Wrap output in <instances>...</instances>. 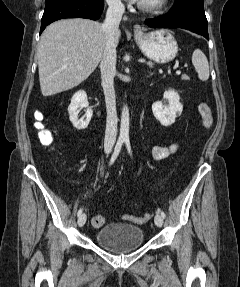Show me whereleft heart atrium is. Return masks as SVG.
I'll list each match as a JSON object with an SVG mask.
<instances>
[{"label": "left heart atrium", "instance_id": "left-heart-atrium-1", "mask_svg": "<svg viewBox=\"0 0 240 287\" xmlns=\"http://www.w3.org/2000/svg\"><path fill=\"white\" fill-rule=\"evenodd\" d=\"M132 2H141L142 0H130Z\"/></svg>", "mask_w": 240, "mask_h": 287}]
</instances>
